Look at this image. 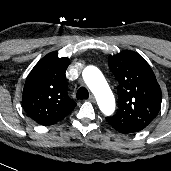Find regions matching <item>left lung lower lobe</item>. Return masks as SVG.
Returning <instances> with one entry per match:
<instances>
[{
    "label": "left lung lower lobe",
    "mask_w": 171,
    "mask_h": 171,
    "mask_svg": "<svg viewBox=\"0 0 171 171\" xmlns=\"http://www.w3.org/2000/svg\"><path fill=\"white\" fill-rule=\"evenodd\" d=\"M144 128L145 127L128 125V126H124V127H120V128H114V129L120 133H123V134H133V133H136V132L143 130Z\"/></svg>",
    "instance_id": "1"
}]
</instances>
